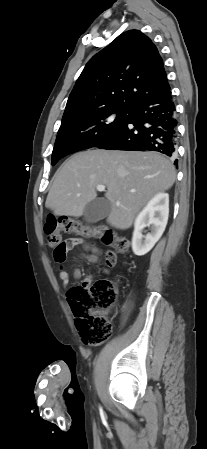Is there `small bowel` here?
Here are the masks:
<instances>
[{
	"label": "small bowel",
	"instance_id": "1",
	"mask_svg": "<svg viewBox=\"0 0 207 449\" xmlns=\"http://www.w3.org/2000/svg\"><path fill=\"white\" fill-rule=\"evenodd\" d=\"M73 241V247L80 245V244H84V241L82 239H72ZM86 249L90 250L92 253L91 254H84L83 257L90 263L95 264L98 262V256L97 254L99 253V249L95 248V247H91L88 244H85ZM106 258L108 256H112L114 259V263L112 265L108 264V268H104V272L108 273L109 268H111L112 266H114L115 262H116V256L112 251H107L105 254ZM73 275L76 279L80 278V270L78 268H76L73 272ZM59 276L60 279L62 281V284L64 287H68L70 284V280H71V276L70 273L65 269L63 264H60V270H59ZM85 281H90V277L86 278Z\"/></svg>",
	"mask_w": 207,
	"mask_h": 449
}]
</instances>
